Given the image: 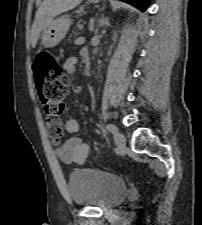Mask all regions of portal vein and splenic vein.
I'll use <instances>...</instances> for the list:
<instances>
[{
  "label": "portal vein and splenic vein",
  "instance_id": "obj_1",
  "mask_svg": "<svg viewBox=\"0 0 202 225\" xmlns=\"http://www.w3.org/2000/svg\"><path fill=\"white\" fill-rule=\"evenodd\" d=\"M84 41V38L80 37L78 39L75 40V43H81Z\"/></svg>",
  "mask_w": 202,
  "mask_h": 225
}]
</instances>
